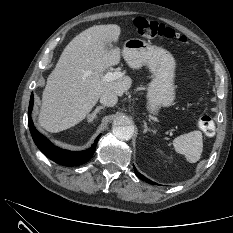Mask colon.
<instances>
[{"mask_svg":"<svg viewBox=\"0 0 233 233\" xmlns=\"http://www.w3.org/2000/svg\"><path fill=\"white\" fill-rule=\"evenodd\" d=\"M134 26L140 35L147 38H164L168 40H176L181 44L188 43V40L185 36L176 33L173 29L161 23L146 19L144 17L135 18ZM198 124L199 128L204 134L208 136L214 134L215 124L210 116L204 115L200 117Z\"/></svg>","mask_w":233,"mask_h":233,"instance_id":"1","label":"colon"}]
</instances>
